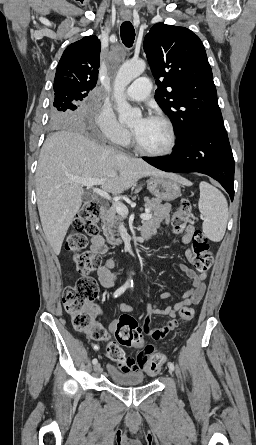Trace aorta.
<instances>
[{"label": "aorta", "mask_w": 256, "mask_h": 445, "mask_svg": "<svg viewBox=\"0 0 256 445\" xmlns=\"http://www.w3.org/2000/svg\"><path fill=\"white\" fill-rule=\"evenodd\" d=\"M145 68L146 64L143 60L126 61L121 65L117 73L114 81V98L118 118L121 123L130 124L141 116V111L137 108H132L127 102L124 92L131 81L140 76L145 71Z\"/></svg>", "instance_id": "aorta-1"}]
</instances>
